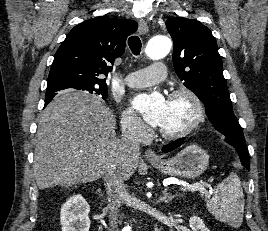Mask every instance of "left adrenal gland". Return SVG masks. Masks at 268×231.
<instances>
[{
	"instance_id": "left-adrenal-gland-1",
	"label": "left adrenal gland",
	"mask_w": 268,
	"mask_h": 231,
	"mask_svg": "<svg viewBox=\"0 0 268 231\" xmlns=\"http://www.w3.org/2000/svg\"><path fill=\"white\" fill-rule=\"evenodd\" d=\"M167 188H165L164 192H163V197H162V201H164L165 203H169L171 202L175 197H177V195H171L167 192Z\"/></svg>"
}]
</instances>
